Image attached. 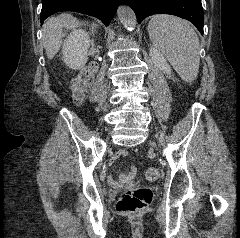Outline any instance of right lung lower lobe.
<instances>
[{
	"label": "right lung lower lobe",
	"instance_id": "1",
	"mask_svg": "<svg viewBox=\"0 0 240 238\" xmlns=\"http://www.w3.org/2000/svg\"><path fill=\"white\" fill-rule=\"evenodd\" d=\"M121 0H42L40 21L56 12L74 11L99 18L109 25Z\"/></svg>",
	"mask_w": 240,
	"mask_h": 238
}]
</instances>
